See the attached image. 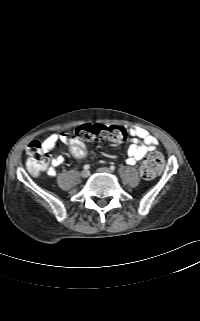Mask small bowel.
<instances>
[{
	"label": "small bowel",
	"mask_w": 200,
	"mask_h": 321,
	"mask_svg": "<svg viewBox=\"0 0 200 321\" xmlns=\"http://www.w3.org/2000/svg\"><path fill=\"white\" fill-rule=\"evenodd\" d=\"M129 133L131 136V143L127 148L126 162L129 165H134L143 159L149 151H153L156 148L158 139L146 129L138 126L131 127ZM67 137H69V135L64 132L53 133L42 142V146L44 150L48 152L52 150L58 142L64 143ZM63 162V156H53L50 159V165L45 167L44 170H46L48 176L54 177L56 175V168Z\"/></svg>",
	"instance_id": "small-bowel-1"
}]
</instances>
